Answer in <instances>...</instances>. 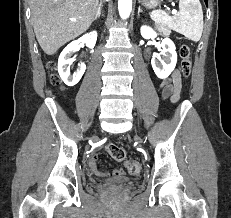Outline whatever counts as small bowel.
Instances as JSON below:
<instances>
[{
	"mask_svg": "<svg viewBox=\"0 0 231 218\" xmlns=\"http://www.w3.org/2000/svg\"><path fill=\"white\" fill-rule=\"evenodd\" d=\"M161 94L164 99H169L172 103L179 100L181 91V75L178 70H175L169 80L163 81L160 84ZM98 155L96 153L91 154L88 165L91 172L100 177H119L124 174V170L121 168L101 171L97 166Z\"/></svg>",
	"mask_w": 231,
	"mask_h": 218,
	"instance_id": "small-bowel-1",
	"label": "small bowel"
}]
</instances>
